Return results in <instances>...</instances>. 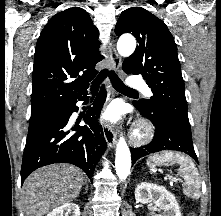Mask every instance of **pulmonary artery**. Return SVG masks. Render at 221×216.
I'll use <instances>...</instances> for the list:
<instances>
[{"mask_svg": "<svg viewBox=\"0 0 221 216\" xmlns=\"http://www.w3.org/2000/svg\"><path fill=\"white\" fill-rule=\"evenodd\" d=\"M128 84L132 88L143 90L146 96L152 95L150 89L146 86V83L140 78L132 77L128 80Z\"/></svg>", "mask_w": 221, "mask_h": 216, "instance_id": "e3ab8cb5", "label": "pulmonary artery"}]
</instances>
